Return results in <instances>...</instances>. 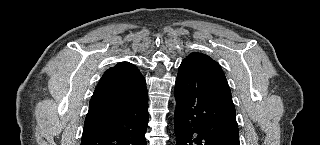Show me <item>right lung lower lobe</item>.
<instances>
[{"mask_svg": "<svg viewBox=\"0 0 320 145\" xmlns=\"http://www.w3.org/2000/svg\"><path fill=\"white\" fill-rule=\"evenodd\" d=\"M124 102L86 117L81 145H146L148 95L145 79L126 91Z\"/></svg>", "mask_w": 320, "mask_h": 145, "instance_id": "obj_1", "label": "right lung lower lobe"}]
</instances>
